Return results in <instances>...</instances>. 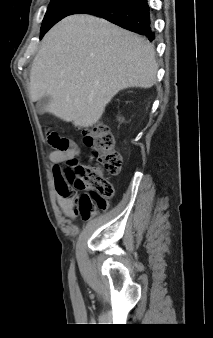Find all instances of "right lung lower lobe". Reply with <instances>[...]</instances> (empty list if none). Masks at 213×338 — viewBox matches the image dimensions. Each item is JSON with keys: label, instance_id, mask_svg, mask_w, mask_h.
<instances>
[{"label": "right lung lower lobe", "instance_id": "obj_1", "mask_svg": "<svg viewBox=\"0 0 213 338\" xmlns=\"http://www.w3.org/2000/svg\"><path fill=\"white\" fill-rule=\"evenodd\" d=\"M78 13L102 17L120 27L146 36L150 41L155 38L147 0H91L72 14Z\"/></svg>", "mask_w": 213, "mask_h": 338}]
</instances>
